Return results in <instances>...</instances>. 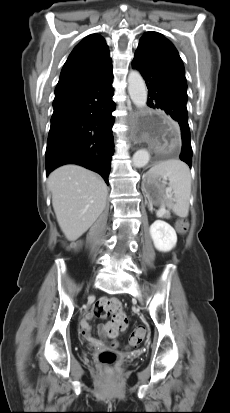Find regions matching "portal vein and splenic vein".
I'll return each mask as SVG.
<instances>
[{"label": "portal vein and splenic vein", "instance_id": "portal-vein-and-splenic-vein-1", "mask_svg": "<svg viewBox=\"0 0 230 413\" xmlns=\"http://www.w3.org/2000/svg\"><path fill=\"white\" fill-rule=\"evenodd\" d=\"M166 213V210H163L162 212H161V215H163V214H165Z\"/></svg>", "mask_w": 230, "mask_h": 413}]
</instances>
